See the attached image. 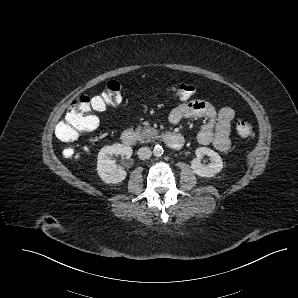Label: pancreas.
I'll list each match as a JSON object with an SVG mask.
<instances>
[{"mask_svg": "<svg viewBox=\"0 0 298 298\" xmlns=\"http://www.w3.org/2000/svg\"><path fill=\"white\" fill-rule=\"evenodd\" d=\"M136 131L138 134H140L144 137H147L149 133L151 134L152 132H156V129H154L150 126L144 125V126H138Z\"/></svg>", "mask_w": 298, "mask_h": 298, "instance_id": "1", "label": "pancreas"}]
</instances>
